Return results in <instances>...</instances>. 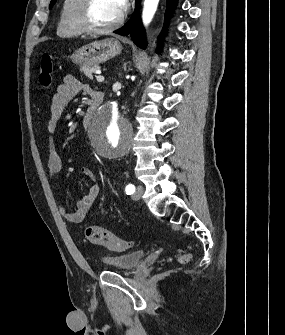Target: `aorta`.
I'll return each mask as SVG.
<instances>
[{"instance_id":"1","label":"aorta","mask_w":285,"mask_h":335,"mask_svg":"<svg viewBox=\"0 0 285 335\" xmlns=\"http://www.w3.org/2000/svg\"><path fill=\"white\" fill-rule=\"evenodd\" d=\"M159 4V0H145L143 8V22L150 24ZM124 102H131V95H108L103 105H98V112H93V119H89L86 134H89L91 147H97V156L103 160H118L124 152H130V141L134 137V130L126 125L123 117Z\"/></svg>"}]
</instances>
